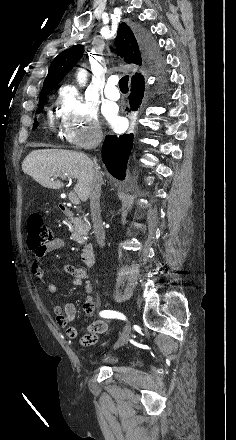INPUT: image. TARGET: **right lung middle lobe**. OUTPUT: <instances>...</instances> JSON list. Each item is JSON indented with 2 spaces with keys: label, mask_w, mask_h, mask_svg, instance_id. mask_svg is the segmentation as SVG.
Masks as SVG:
<instances>
[{
  "label": "right lung middle lobe",
  "mask_w": 236,
  "mask_h": 440,
  "mask_svg": "<svg viewBox=\"0 0 236 440\" xmlns=\"http://www.w3.org/2000/svg\"><path fill=\"white\" fill-rule=\"evenodd\" d=\"M47 95H44L43 97L39 98V105H38V112L40 113L44 107V100L46 99ZM38 126V122L35 121L33 128H36Z\"/></svg>",
  "instance_id": "1"
}]
</instances>
